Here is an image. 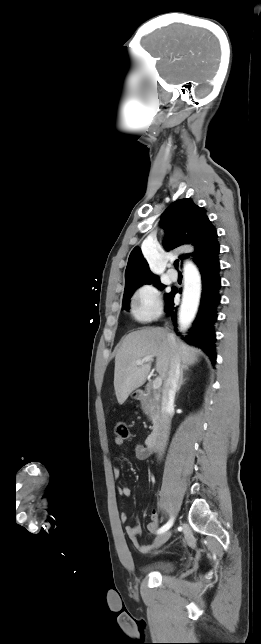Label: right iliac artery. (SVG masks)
Masks as SVG:
<instances>
[{
  "instance_id": "82829eb1",
  "label": "right iliac artery",
  "mask_w": 261,
  "mask_h": 644,
  "mask_svg": "<svg viewBox=\"0 0 261 644\" xmlns=\"http://www.w3.org/2000/svg\"><path fill=\"white\" fill-rule=\"evenodd\" d=\"M172 524H173V518H171V519H170V520H169L165 525H163V526H162V527L157 531V533H158V534H160V533H163V532L167 531V530L172 526Z\"/></svg>"
}]
</instances>
